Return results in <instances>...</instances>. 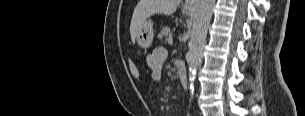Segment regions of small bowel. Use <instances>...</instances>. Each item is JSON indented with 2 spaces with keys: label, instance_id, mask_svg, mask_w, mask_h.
I'll return each instance as SVG.
<instances>
[{
  "label": "small bowel",
  "instance_id": "1",
  "mask_svg": "<svg viewBox=\"0 0 305 116\" xmlns=\"http://www.w3.org/2000/svg\"><path fill=\"white\" fill-rule=\"evenodd\" d=\"M167 55L168 53L164 48L158 47L146 58L148 67L152 72V80L155 83H160L163 79V66Z\"/></svg>",
  "mask_w": 305,
  "mask_h": 116
}]
</instances>
